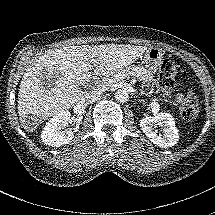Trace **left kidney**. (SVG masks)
Masks as SVG:
<instances>
[{"instance_id": "1", "label": "left kidney", "mask_w": 215, "mask_h": 215, "mask_svg": "<svg viewBox=\"0 0 215 215\" xmlns=\"http://www.w3.org/2000/svg\"><path fill=\"white\" fill-rule=\"evenodd\" d=\"M140 127L155 146L170 148L178 142V132L170 114L159 113L143 118L140 120Z\"/></svg>"}]
</instances>
